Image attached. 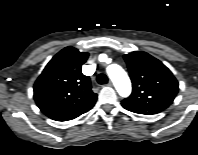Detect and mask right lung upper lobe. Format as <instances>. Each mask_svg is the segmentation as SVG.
<instances>
[{
	"label": "right lung upper lobe",
	"instance_id": "cb5924a9",
	"mask_svg": "<svg viewBox=\"0 0 198 155\" xmlns=\"http://www.w3.org/2000/svg\"><path fill=\"white\" fill-rule=\"evenodd\" d=\"M88 53L66 47L47 64L34 85V99L40 110L56 121L74 119L90 110L97 94L91 90L81 67Z\"/></svg>",
	"mask_w": 198,
	"mask_h": 155
}]
</instances>
